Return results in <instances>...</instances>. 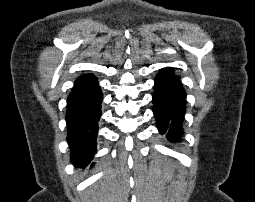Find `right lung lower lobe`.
<instances>
[{"label":"right lung lower lobe","instance_id":"obj_1","mask_svg":"<svg viewBox=\"0 0 255 202\" xmlns=\"http://www.w3.org/2000/svg\"><path fill=\"white\" fill-rule=\"evenodd\" d=\"M102 98L96 78L75 84L68 96L67 141L71 149V162L77 167L88 165L96 152Z\"/></svg>","mask_w":255,"mask_h":202}]
</instances>
